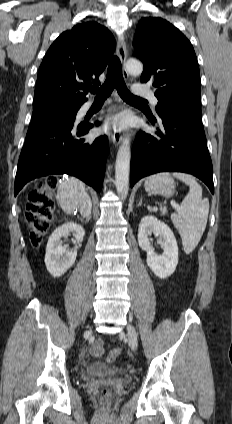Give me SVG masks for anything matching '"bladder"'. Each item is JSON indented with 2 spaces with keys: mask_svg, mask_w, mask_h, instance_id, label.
Here are the masks:
<instances>
[{
  "mask_svg": "<svg viewBox=\"0 0 232 424\" xmlns=\"http://www.w3.org/2000/svg\"><path fill=\"white\" fill-rule=\"evenodd\" d=\"M125 371L117 365H108L103 362L90 364L86 369L87 376L118 377L123 376Z\"/></svg>",
  "mask_w": 232,
  "mask_h": 424,
  "instance_id": "1",
  "label": "bladder"
}]
</instances>
